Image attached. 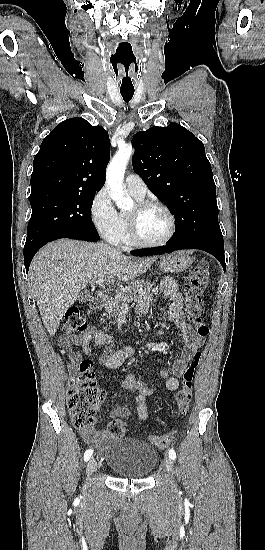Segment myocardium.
I'll use <instances>...</instances> for the list:
<instances>
[{"mask_svg": "<svg viewBox=\"0 0 265 550\" xmlns=\"http://www.w3.org/2000/svg\"><path fill=\"white\" fill-rule=\"evenodd\" d=\"M156 208L162 210L169 219V230L167 235L160 241L149 242L143 240L138 231V217L144 211ZM128 222H129V234L132 241V244L136 247L141 248H156L166 245L174 236L176 231V218L172 211L165 205L157 201L142 200L139 201L135 206V211L128 213Z\"/></svg>", "mask_w": 265, "mask_h": 550, "instance_id": "1", "label": "myocardium"}]
</instances>
